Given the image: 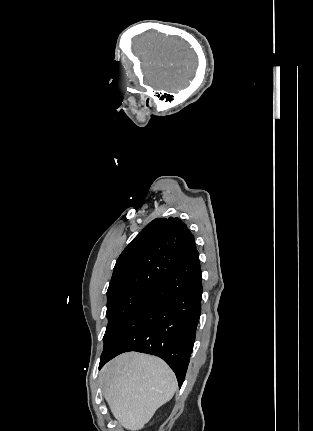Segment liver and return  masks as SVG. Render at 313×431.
I'll list each match as a JSON object with an SVG mask.
<instances>
[{
    "label": "liver",
    "instance_id": "obj_1",
    "mask_svg": "<svg viewBox=\"0 0 313 431\" xmlns=\"http://www.w3.org/2000/svg\"><path fill=\"white\" fill-rule=\"evenodd\" d=\"M104 397L119 423L141 430L156 410L175 394L177 380L160 358L124 353L102 369Z\"/></svg>",
    "mask_w": 313,
    "mask_h": 431
}]
</instances>
